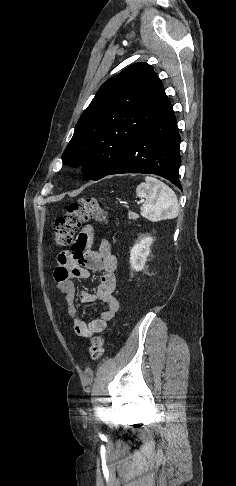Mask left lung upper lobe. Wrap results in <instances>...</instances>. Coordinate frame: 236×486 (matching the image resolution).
Wrapping results in <instances>:
<instances>
[{
	"label": "left lung upper lobe",
	"instance_id": "left-lung-upper-lobe-1",
	"mask_svg": "<svg viewBox=\"0 0 236 486\" xmlns=\"http://www.w3.org/2000/svg\"><path fill=\"white\" fill-rule=\"evenodd\" d=\"M161 80L147 63L108 79L79 118L62 154L63 164L83 165L85 180L103 178L131 141L168 106Z\"/></svg>",
	"mask_w": 236,
	"mask_h": 486
}]
</instances>
